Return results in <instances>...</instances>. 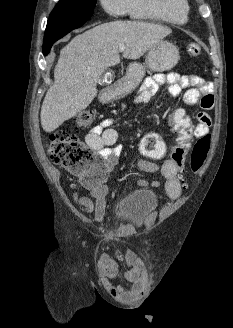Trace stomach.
I'll return each instance as SVG.
<instances>
[{
  "label": "stomach",
  "mask_w": 233,
  "mask_h": 328,
  "mask_svg": "<svg viewBox=\"0 0 233 328\" xmlns=\"http://www.w3.org/2000/svg\"><path fill=\"white\" fill-rule=\"evenodd\" d=\"M178 61L179 51L171 42L161 41L153 45L148 50L145 65L131 63L127 68L125 78L111 93L110 98L119 99L134 91L145 76L146 68L155 72H164L175 67Z\"/></svg>",
  "instance_id": "1"
}]
</instances>
